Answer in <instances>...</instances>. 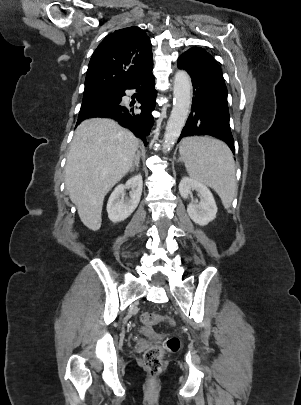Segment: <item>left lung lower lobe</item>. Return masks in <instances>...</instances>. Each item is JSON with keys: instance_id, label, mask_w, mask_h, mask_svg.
<instances>
[{"instance_id": "1", "label": "left lung lower lobe", "mask_w": 301, "mask_h": 405, "mask_svg": "<svg viewBox=\"0 0 301 405\" xmlns=\"http://www.w3.org/2000/svg\"><path fill=\"white\" fill-rule=\"evenodd\" d=\"M178 68L190 74L194 95L191 113L179 140L188 136H212L223 140L234 153L222 71L210 59L186 53L178 58Z\"/></svg>"}]
</instances>
